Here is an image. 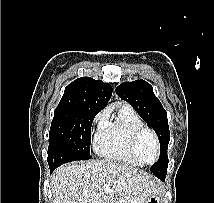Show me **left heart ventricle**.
<instances>
[{
	"mask_svg": "<svg viewBox=\"0 0 214 203\" xmlns=\"http://www.w3.org/2000/svg\"><path fill=\"white\" fill-rule=\"evenodd\" d=\"M140 157L143 161L150 163L156 158V148L152 137L149 134H144L138 145Z\"/></svg>",
	"mask_w": 214,
	"mask_h": 203,
	"instance_id": "left-heart-ventricle-1",
	"label": "left heart ventricle"
}]
</instances>
